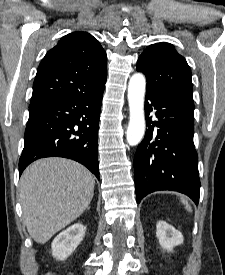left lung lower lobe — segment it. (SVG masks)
<instances>
[{"label":"left lung lower lobe","instance_id":"0a47b994","mask_svg":"<svg viewBox=\"0 0 225 275\" xmlns=\"http://www.w3.org/2000/svg\"><path fill=\"white\" fill-rule=\"evenodd\" d=\"M153 109L157 121L149 117ZM145 112L148 129L134 156L137 203L151 192L171 190L186 194L198 205L200 179L193 143L194 109L147 88Z\"/></svg>","mask_w":225,"mask_h":275}]
</instances>
